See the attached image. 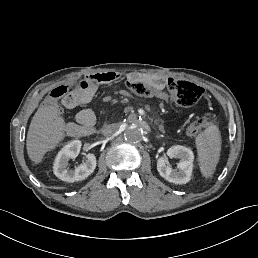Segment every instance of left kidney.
<instances>
[{"instance_id": "1", "label": "left kidney", "mask_w": 258, "mask_h": 258, "mask_svg": "<svg viewBox=\"0 0 258 258\" xmlns=\"http://www.w3.org/2000/svg\"><path fill=\"white\" fill-rule=\"evenodd\" d=\"M168 156L180 160L179 171L174 172L163 160L158 161L157 169L162 177L175 184L190 182L193 172L194 153L190 148L183 145H173L168 149Z\"/></svg>"}]
</instances>
